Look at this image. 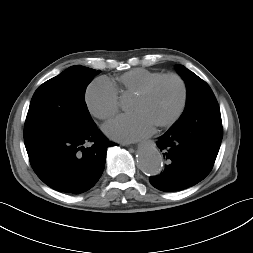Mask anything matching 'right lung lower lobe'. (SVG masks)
<instances>
[{"mask_svg": "<svg viewBox=\"0 0 253 253\" xmlns=\"http://www.w3.org/2000/svg\"><path fill=\"white\" fill-rule=\"evenodd\" d=\"M88 142L92 145L87 147ZM108 141L96 124L60 132L27 149L37 176L59 192L79 194L92 188L104 170Z\"/></svg>", "mask_w": 253, "mask_h": 253, "instance_id": "obj_1", "label": "right lung lower lobe"}]
</instances>
